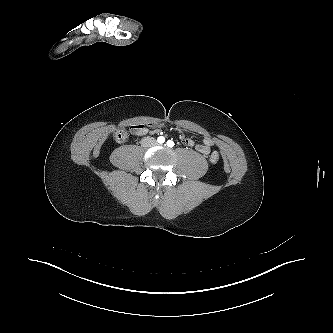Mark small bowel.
I'll list each match as a JSON object with an SVG mask.
<instances>
[{"label":"small bowel","instance_id":"1","mask_svg":"<svg viewBox=\"0 0 333 333\" xmlns=\"http://www.w3.org/2000/svg\"><path fill=\"white\" fill-rule=\"evenodd\" d=\"M131 133L135 136H143L147 133V127L143 124L137 125V126H132L131 127ZM184 145L187 147H194L195 143L192 139L190 138H185L183 140ZM212 140L210 138H204L202 143L199 145H196V149L199 153L203 155H208L211 152V147H212Z\"/></svg>","mask_w":333,"mask_h":333}]
</instances>
